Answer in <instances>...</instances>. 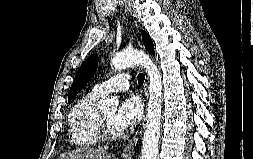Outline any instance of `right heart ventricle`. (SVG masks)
<instances>
[{
	"mask_svg": "<svg viewBox=\"0 0 253 159\" xmlns=\"http://www.w3.org/2000/svg\"><path fill=\"white\" fill-rule=\"evenodd\" d=\"M100 97L90 91L71 109L68 116V137L72 146L91 149L100 143L96 101Z\"/></svg>",
	"mask_w": 253,
	"mask_h": 159,
	"instance_id": "obj_1",
	"label": "right heart ventricle"
}]
</instances>
